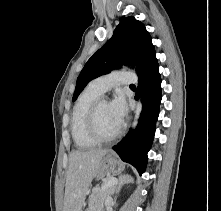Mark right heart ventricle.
<instances>
[{
  "mask_svg": "<svg viewBox=\"0 0 221 211\" xmlns=\"http://www.w3.org/2000/svg\"><path fill=\"white\" fill-rule=\"evenodd\" d=\"M102 93L88 85L79 95L72 112L71 134L76 147L87 149L94 147L97 142L87 133L86 118L91 105L100 98Z\"/></svg>",
  "mask_w": 221,
  "mask_h": 211,
  "instance_id": "obj_1",
  "label": "right heart ventricle"
}]
</instances>
